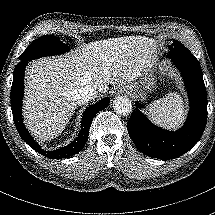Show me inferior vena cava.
<instances>
[{
	"instance_id": "1",
	"label": "inferior vena cava",
	"mask_w": 215,
	"mask_h": 215,
	"mask_svg": "<svg viewBox=\"0 0 215 215\" xmlns=\"http://www.w3.org/2000/svg\"><path fill=\"white\" fill-rule=\"evenodd\" d=\"M98 95L99 92L94 87L89 85L81 86L74 92V100L77 103L83 104L85 102L92 100Z\"/></svg>"
}]
</instances>
